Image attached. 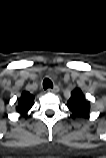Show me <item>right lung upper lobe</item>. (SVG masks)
<instances>
[{
    "label": "right lung upper lobe",
    "instance_id": "1",
    "mask_svg": "<svg viewBox=\"0 0 106 158\" xmlns=\"http://www.w3.org/2000/svg\"><path fill=\"white\" fill-rule=\"evenodd\" d=\"M34 96L29 92H23L21 97L18 99V105L16 111L21 115L26 114L32 107Z\"/></svg>",
    "mask_w": 106,
    "mask_h": 158
}]
</instances>
